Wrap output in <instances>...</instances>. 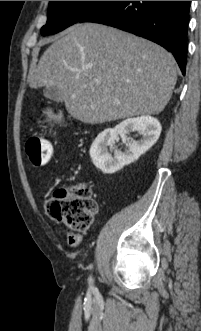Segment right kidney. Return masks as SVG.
<instances>
[{
    "mask_svg": "<svg viewBox=\"0 0 201 331\" xmlns=\"http://www.w3.org/2000/svg\"><path fill=\"white\" fill-rule=\"evenodd\" d=\"M130 132H138L140 139L136 141L127 137ZM160 133L161 124L154 117L143 115L126 119L112 129H105L96 137L89 151L90 157L104 174H113L148 151L156 143ZM119 135L126 138L127 149L124 152L114 146ZM113 149L114 155L109 152Z\"/></svg>",
    "mask_w": 201,
    "mask_h": 331,
    "instance_id": "obj_1",
    "label": "right kidney"
}]
</instances>
